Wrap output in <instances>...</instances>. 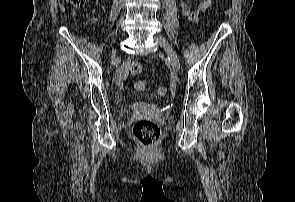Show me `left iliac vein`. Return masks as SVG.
Masks as SVG:
<instances>
[{"mask_svg":"<svg viewBox=\"0 0 295 202\" xmlns=\"http://www.w3.org/2000/svg\"><path fill=\"white\" fill-rule=\"evenodd\" d=\"M156 41L165 49L173 69L179 70L180 60L176 52L174 51L173 47L171 46V44L163 36H160V35L156 37Z\"/></svg>","mask_w":295,"mask_h":202,"instance_id":"1","label":"left iliac vein"}]
</instances>
